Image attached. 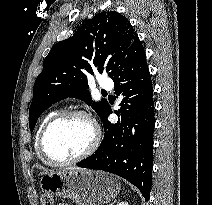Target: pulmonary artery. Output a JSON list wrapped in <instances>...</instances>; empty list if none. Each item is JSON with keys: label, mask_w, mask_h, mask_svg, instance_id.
I'll list each match as a JSON object with an SVG mask.
<instances>
[{"label": "pulmonary artery", "mask_w": 212, "mask_h": 205, "mask_svg": "<svg viewBox=\"0 0 212 205\" xmlns=\"http://www.w3.org/2000/svg\"><path fill=\"white\" fill-rule=\"evenodd\" d=\"M99 86L103 90H112L114 85L111 79L103 78L101 79Z\"/></svg>", "instance_id": "obj_1"}]
</instances>
